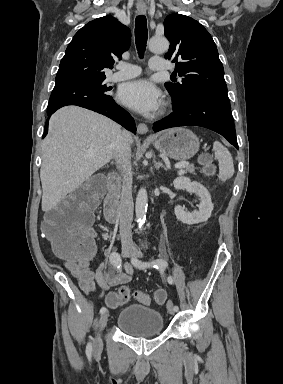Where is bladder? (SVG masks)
<instances>
[{"label": "bladder", "instance_id": "31cf9c89", "mask_svg": "<svg viewBox=\"0 0 283 384\" xmlns=\"http://www.w3.org/2000/svg\"><path fill=\"white\" fill-rule=\"evenodd\" d=\"M116 328L127 336L146 338L160 335L164 330L162 311L143 306L129 304L123 307L116 317Z\"/></svg>", "mask_w": 283, "mask_h": 384}]
</instances>
